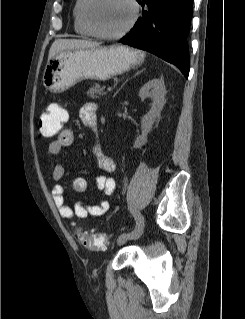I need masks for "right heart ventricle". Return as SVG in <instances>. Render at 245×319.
Instances as JSON below:
<instances>
[{
  "label": "right heart ventricle",
  "instance_id": "1",
  "mask_svg": "<svg viewBox=\"0 0 245 319\" xmlns=\"http://www.w3.org/2000/svg\"><path fill=\"white\" fill-rule=\"evenodd\" d=\"M86 0H75L72 10L74 29L81 36H93L83 19V6Z\"/></svg>",
  "mask_w": 245,
  "mask_h": 319
}]
</instances>
